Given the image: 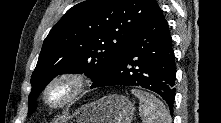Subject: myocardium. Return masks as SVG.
Listing matches in <instances>:
<instances>
[{
  "label": "myocardium",
  "instance_id": "obj_1",
  "mask_svg": "<svg viewBox=\"0 0 221 123\" xmlns=\"http://www.w3.org/2000/svg\"><path fill=\"white\" fill-rule=\"evenodd\" d=\"M59 86L66 88L65 96L58 102H51L50 92ZM89 86L87 77L78 72H62L52 77L44 86L41 98L42 102L50 109L57 110L70 106L77 102L86 92Z\"/></svg>",
  "mask_w": 221,
  "mask_h": 123
}]
</instances>
